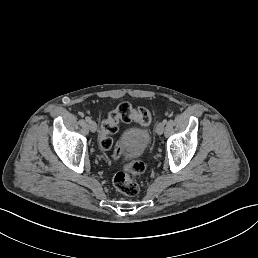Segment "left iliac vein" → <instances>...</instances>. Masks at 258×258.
<instances>
[{"label":"left iliac vein","mask_w":258,"mask_h":258,"mask_svg":"<svg viewBox=\"0 0 258 258\" xmlns=\"http://www.w3.org/2000/svg\"><path fill=\"white\" fill-rule=\"evenodd\" d=\"M165 127H166V126H165L164 122H159V124H158V126H157V129H156V130H157V132H158V133H160V134H161V133H163V132H164Z\"/></svg>","instance_id":"1"}]
</instances>
